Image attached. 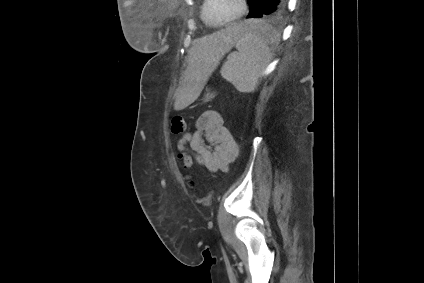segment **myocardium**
<instances>
[{
  "instance_id": "myocardium-1",
  "label": "myocardium",
  "mask_w": 424,
  "mask_h": 283,
  "mask_svg": "<svg viewBox=\"0 0 424 283\" xmlns=\"http://www.w3.org/2000/svg\"><path fill=\"white\" fill-rule=\"evenodd\" d=\"M210 2L211 0H204L203 19L209 26H212V27H220V26L232 23L234 21H237L238 19L242 18L248 10V0H239L240 9L236 15L228 19L222 20L220 22L212 23L208 19V6Z\"/></svg>"
}]
</instances>
